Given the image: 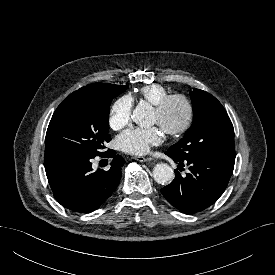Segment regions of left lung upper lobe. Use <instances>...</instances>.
Here are the masks:
<instances>
[{
  "mask_svg": "<svg viewBox=\"0 0 275 275\" xmlns=\"http://www.w3.org/2000/svg\"><path fill=\"white\" fill-rule=\"evenodd\" d=\"M190 96L193 123L168 152L182 160L200 154L235 159L234 129L224 107L213 95L203 90L194 89Z\"/></svg>",
  "mask_w": 275,
  "mask_h": 275,
  "instance_id": "1",
  "label": "left lung upper lobe"
}]
</instances>
